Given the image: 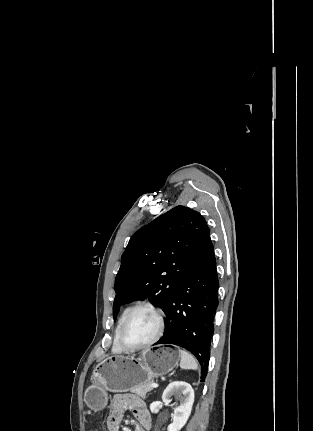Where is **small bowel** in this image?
Returning <instances> with one entry per match:
<instances>
[{
  "label": "small bowel",
  "instance_id": "1",
  "mask_svg": "<svg viewBox=\"0 0 313 431\" xmlns=\"http://www.w3.org/2000/svg\"><path fill=\"white\" fill-rule=\"evenodd\" d=\"M126 408L135 415L138 425L135 431H148L151 427V419L144 404L140 399L130 394H116L111 403V409L107 420L109 431H119L120 424Z\"/></svg>",
  "mask_w": 313,
  "mask_h": 431
}]
</instances>
